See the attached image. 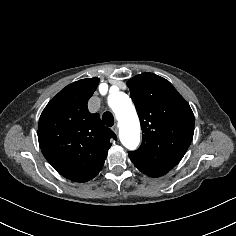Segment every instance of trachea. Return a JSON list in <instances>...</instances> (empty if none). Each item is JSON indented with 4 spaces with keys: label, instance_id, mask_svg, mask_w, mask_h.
I'll use <instances>...</instances> for the list:
<instances>
[{
    "label": "trachea",
    "instance_id": "3493384b",
    "mask_svg": "<svg viewBox=\"0 0 236 236\" xmlns=\"http://www.w3.org/2000/svg\"><path fill=\"white\" fill-rule=\"evenodd\" d=\"M103 122L106 126L112 127L114 125V117L113 114L109 111L105 112L102 115Z\"/></svg>",
    "mask_w": 236,
    "mask_h": 236
}]
</instances>
